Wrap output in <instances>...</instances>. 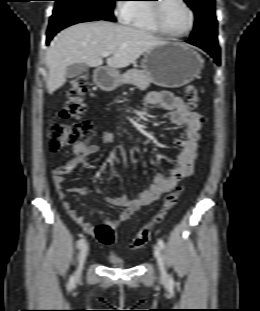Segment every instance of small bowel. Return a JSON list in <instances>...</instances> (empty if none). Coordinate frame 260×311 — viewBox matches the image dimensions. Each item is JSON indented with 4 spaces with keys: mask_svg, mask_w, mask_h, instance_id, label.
I'll return each instance as SVG.
<instances>
[{
    "mask_svg": "<svg viewBox=\"0 0 260 311\" xmlns=\"http://www.w3.org/2000/svg\"><path fill=\"white\" fill-rule=\"evenodd\" d=\"M146 103L150 106H158L168 112L169 122L174 126L183 128L184 138L174 139V142L181 148V151L178 155L177 165L171 173L169 175L156 173L150 187L141 191L136 199L130 200L123 195L106 199L109 204L123 208V211L117 218L107 222L114 229L122 222L127 221L141 207L158 200L162 194L172 190L179 180L190 175L197 156L200 130L199 114L189 110L181 97L175 96L167 91L149 92L146 97ZM100 140L103 144H111L115 140V135L112 132L105 131L101 134ZM99 150L100 146L98 144L76 146L74 148V157L68 162L55 167L52 171V181L64 210L88 234L94 233L95 225L87 222L85 217L80 215L66 200L67 188L65 177L77 166L88 170L93 169L94 165L88 161V157L97 154ZM72 190L77 193L84 191L83 188H73Z\"/></svg>",
    "mask_w": 260,
    "mask_h": 311,
    "instance_id": "small-bowel-1",
    "label": "small bowel"
}]
</instances>
